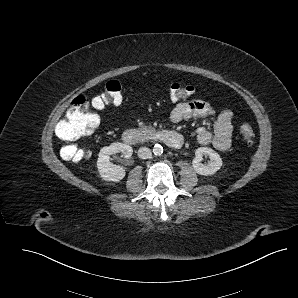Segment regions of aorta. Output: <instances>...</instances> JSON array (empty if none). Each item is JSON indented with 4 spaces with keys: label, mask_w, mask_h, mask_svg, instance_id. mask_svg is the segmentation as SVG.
<instances>
[{
    "label": "aorta",
    "mask_w": 298,
    "mask_h": 298,
    "mask_svg": "<svg viewBox=\"0 0 298 298\" xmlns=\"http://www.w3.org/2000/svg\"><path fill=\"white\" fill-rule=\"evenodd\" d=\"M153 153L154 155H161L163 153V147L160 144H155L153 147Z\"/></svg>",
    "instance_id": "aorta-1"
}]
</instances>
